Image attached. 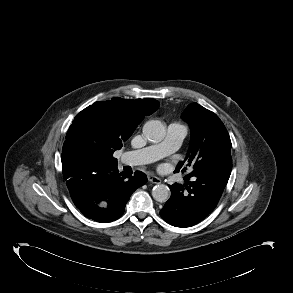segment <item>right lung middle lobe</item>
<instances>
[{
  "label": "right lung middle lobe",
  "instance_id": "1",
  "mask_svg": "<svg viewBox=\"0 0 293 293\" xmlns=\"http://www.w3.org/2000/svg\"><path fill=\"white\" fill-rule=\"evenodd\" d=\"M106 157L107 156L105 155L104 152L96 149L84 155L82 157V161H83V164L85 165H93V164L103 163Z\"/></svg>",
  "mask_w": 293,
  "mask_h": 293
}]
</instances>
